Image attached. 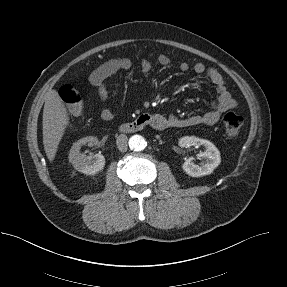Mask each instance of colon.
<instances>
[{
  "instance_id": "5ec220e1",
  "label": "colon",
  "mask_w": 287,
  "mask_h": 287,
  "mask_svg": "<svg viewBox=\"0 0 287 287\" xmlns=\"http://www.w3.org/2000/svg\"><path fill=\"white\" fill-rule=\"evenodd\" d=\"M59 96L73 114L82 112V97L71 85H64L59 90ZM243 126V117L235 112H228L223 117V127L227 136L235 137Z\"/></svg>"
}]
</instances>
